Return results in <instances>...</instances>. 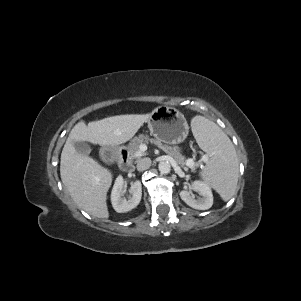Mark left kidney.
I'll list each match as a JSON object with an SVG mask.
<instances>
[{
    "label": "left kidney",
    "mask_w": 301,
    "mask_h": 301,
    "mask_svg": "<svg viewBox=\"0 0 301 301\" xmlns=\"http://www.w3.org/2000/svg\"><path fill=\"white\" fill-rule=\"evenodd\" d=\"M192 189L196 191L200 197L197 199L190 191L182 190L180 192L181 199L190 207L198 210H207L213 205V194L210 186L202 181H195Z\"/></svg>",
    "instance_id": "1"
}]
</instances>
